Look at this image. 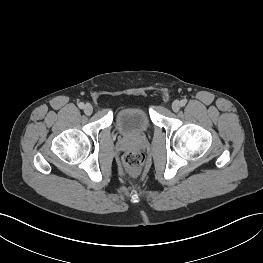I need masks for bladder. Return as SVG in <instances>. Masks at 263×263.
I'll use <instances>...</instances> for the list:
<instances>
[{
  "label": "bladder",
  "mask_w": 263,
  "mask_h": 263,
  "mask_svg": "<svg viewBox=\"0 0 263 263\" xmlns=\"http://www.w3.org/2000/svg\"><path fill=\"white\" fill-rule=\"evenodd\" d=\"M117 131L126 137H145L152 129L148 114L139 106H127L115 114Z\"/></svg>",
  "instance_id": "obj_1"
}]
</instances>
